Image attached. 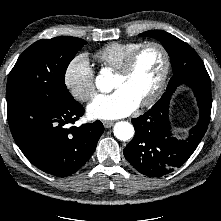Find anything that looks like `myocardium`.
Wrapping results in <instances>:
<instances>
[{
	"label": "myocardium",
	"mask_w": 221,
	"mask_h": 221,
	"mask_svg": "<svg viewBox=\"0 0 221 221\" xmlns=\"http://www.w3.org/2000/svg\"><path fill=\"white\" fill-rule=\"evenodd\" d=\"M157 48L163 56V70H162V74L160 77V80L154 90V92L144 101H142L138 106L140 107H148L151 106L152 104H154L163 94V91L165 89L167 80H168V76H169V72H170V68H171V61H170V56L169 53L167 51V49L164 47V45H162L159 42H146L143 43L141 46H139L137 49H135L123 62V64L117 69L116 73L122 76H127L129 75L134 66L135 63L138 59V57L140 56V54L148 49V48Z\"/></svg>",
	"instance_id": "myocardium-1"
}]
</instances>
